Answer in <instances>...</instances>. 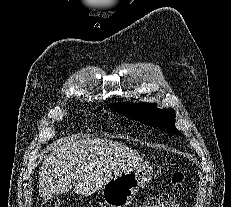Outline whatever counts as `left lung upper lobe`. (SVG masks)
Masks as SVG:
<instances>
[{"label": "left lung upper lobe", "mask_w": 231, "mask_h": 207, "mask_svg": "<svg viewBox=\"0 0 231 207\" xmlns=\"http://www.w3.org/2000/svg\"><path fill=\"white\" fill-rule=\"evenodd\" d=\"M111 109L131 118L138 120L145 125L160 128L172 134H181L174 126L175 112L173 109H157L155 104H109Z\"/></svg>", "instance_id": "5c2ea615"}]
</instances>
